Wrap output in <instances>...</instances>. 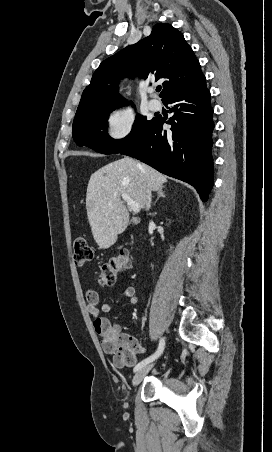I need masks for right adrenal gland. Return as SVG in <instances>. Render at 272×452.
<instances>
[{"mask_svg": "<svg viewBox=\"0 0 272 452\" xmlns=\"http://www.w3.org/2000/svg\"><path fill=\"white\" fill-rule=\"evenodd\" d=\"M163 186L161 187V188H159L158 189V191H157V199L155 200V202H154V205H156V203H157V201H158V199L160 198V197H165V193H164V191H163Z\"/></svg>", "mask_w": 272, "mask_h": 452, "instance_id": "1", "label": "right adrenal gland"}]
</instances>
